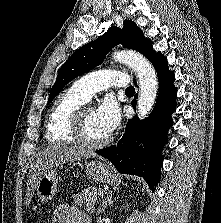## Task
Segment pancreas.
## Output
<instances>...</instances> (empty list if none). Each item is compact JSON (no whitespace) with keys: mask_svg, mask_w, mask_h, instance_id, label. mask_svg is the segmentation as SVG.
I'll list each match as a JSON object with an SVG mask.
<instances>
[{"mask_svg":"<svg viewBox=\"0 0 221 223\" xmlns=\"http://www.w3.org/2000/svg\"><path fill=\"white\" fill-rule=\"evenodd\" d=\"M102 189L97 187L85 188L82 192L73 195L75 205L85 206L86 210L93 214L95 212V203L97 201V194H101Z\"/></svg>","mask_w":221,"mask_h":223,"instance_id":"1","label":"pancreas"}]
</instances>
